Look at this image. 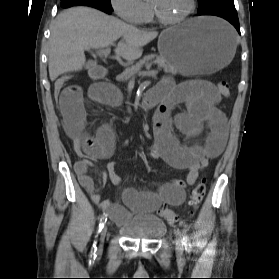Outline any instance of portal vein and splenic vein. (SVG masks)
Returning <instances> with one entry per match:
<instances>
[{
  "mask_svg": "<svg viewBox=\"0 0 279 279\" xmlns=\"http://www.w3.org/2000/svg\"><path fill=\"white\" fill-rule=\"evenodd\" d=\"M110 53V47L106 46L105 49H101L98 51V54L100 56L106 57L108 54ZM136 70H139V68H136ZM153 72H157V71H153Z\"/></svg>",
  "mask_w": 279,
  "mask_h": 279,
  "instance_id": "obj_1",
  "label": "portal vein and splenic vein"
}]
</instances>
